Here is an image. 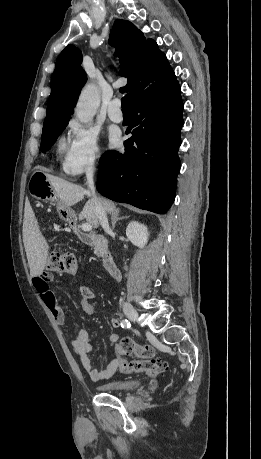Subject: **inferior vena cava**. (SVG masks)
Listing matches in <instances>:
<instances>
[{
  "instance_id": "obj_1",
  "label": "inferior vena cava",
  "mask_w": 261,
  "mask_h": 459,
  "mask_svg": "<svg viewBox=\"0 0 261 459\" xmlns=\"http://www.w3.org/2000/svg\"><path fill=\"white\" fill-rule=\"evenodd\" d=\"M94 170H95L94 165H91L87 171L86 178H87L88 187L90 190V194L92 196V200L94 202L95 212L99 219V222L106 232H110L106 211L103 207V204L100 198H98L95 193V186H94V179H93Z\"/></svg>"
}]
</instances>
